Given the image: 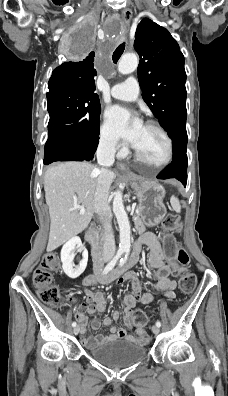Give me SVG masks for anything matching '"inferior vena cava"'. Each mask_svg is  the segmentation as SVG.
Wrapping results in <instances>:
<instances>
[{
	"label": "inferior vena cava",
	"mask_w": 228,
	"mask_h": 396,
	"mask_svg": "<svg viewBox=\"0 0 228 396\" xmlns=\"http://www.w3.org/2000/svg\"><path fill=\"white\" fill-rule=\"evenodd\" d=\"M115 153V144L106 141L100 142L96 152L97 161L101 168L98 169L99 177L94 195V210L103 225V254L109 256H114L116 252L111 226V213L108 207L109 189L112 183V172L109 167L114 164Z\"/></svg>",
	"instance_id": "1"
}]
</instances>
